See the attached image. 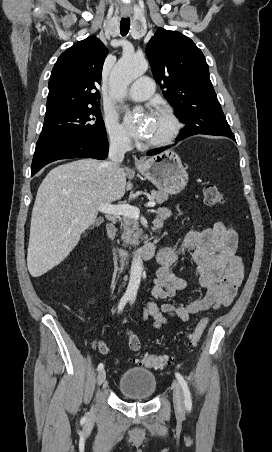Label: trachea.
I'll use <instances>...</instances> for the list:
<instances>
[{"label": "trachea", "mask_w": 272, "mask_h": 452, "mask_svg": "<svg viewBox=\"0 0 272 452\" xmlns=\"http://www.w3.org/2000/svg\"><path fill=\"white\" fill-rule=\"evenodd\" d=\"M130 29V18H122L120 21V32L122 36L127 35Z\"/></svg>", "instance_id": "1"}]
</instances>
